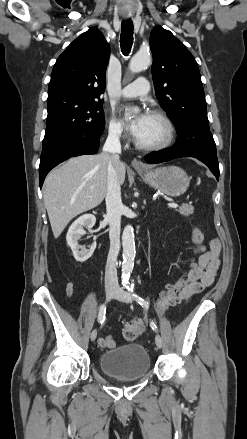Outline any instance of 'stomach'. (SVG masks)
<instances>
[{"label":"stomach","mask_w":247,"mask_h":439,"mask_svg":"<svg viewBox=\"0 0 247 439\" xmlns=\"http://www.w3.org/2000/svg\"><path fill=\"white\" fill-rule=\"evenodd\" d=\"M137 172L147 184L171 197L184 194L190 184L187 173L177 166L148 168Z\"/></svg>","instance_id":"obj_1"}]
</instances>
